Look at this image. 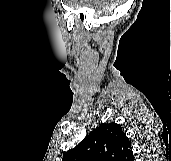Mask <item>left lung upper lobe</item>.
<instances>
[{"label": "left lung upper lobe", "mask_w": 171, "mask_h": 161, "mask_svg": "<svg viewBox=\"0 0 171 161\" xmlns=\"http://www.w3.org/2000/svg\"><path fill=\"white\" fill-rule=\"evenodd\" d=\"M131 143L119 124L104 123L91 131L62 161H131Z\"/></svg>", "instance_id": "obj_1"}]
</instances>
